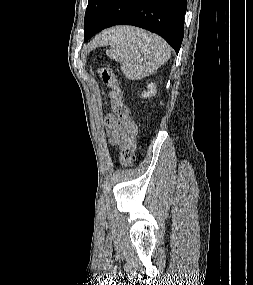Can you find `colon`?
I'll list each match as a JSON object with an SVG mask.
<instances>
[{
  "label": "colon",
  "instance_id": "obj_1",
  "mask_svg": "<svg viewBox=\"0 0 253 285\" xmlns=\"http://www.w3.org/2000/svg\"><path fill=\"white\" fill-rule=\"evenodd\" d=\"M97 73L100 78L110 87L116 94L113 99V111L115 116L126 124V143L121 152V164L124 167L131 166L135 159L136 151V136H137V125L130 117V110L127 105L123 102V91L118 82L116 74L106 67L97 69Z\"/></svg>",
  "mask_w": 253,
  "mask_h": 285
}]
</instances>
